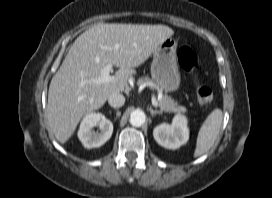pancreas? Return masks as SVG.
Segmentation results:
<instances>
[{"label": "pancreas", "instance_id": "obj_1", "mask_svg": "<svg viewBox=\"0 0 272 198\" xmlns=\"http://www.w3.org/2000/svg\"><path fill=\"white\" fill-rule=\"evenodd\" d=\"M138 85H148L151 88H156L154 82L148 77L140 78L137 82ZM158 105L162 112L168 113H185L187 109L183 106H179L170 96L164 94L161 99L158 100Z\"/></svg>", "mask_w": 272, "mask_h": 198}]
</instances>
